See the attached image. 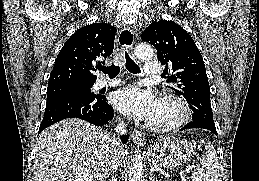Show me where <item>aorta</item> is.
Returning a JSON list of instances; mask_svg holds the SVG:
<instances>
[{"label": "aorta", "instance_id": "1", "mask_svg": "<svg viewBox=\"0 0 259 181\" xmlns=\"http://www.w3.org/2000/svg\"><path fill=\"white\" fill-rule=\"evenodd\" d=\"M135 54L140 59H151L154 55L153 49L146 43L139 44L135 49ZM128 181H143V158L139 152H135L131 161Z\"/></svg>", "mask_w": 259, "mask_h": 181}]
</instances>
